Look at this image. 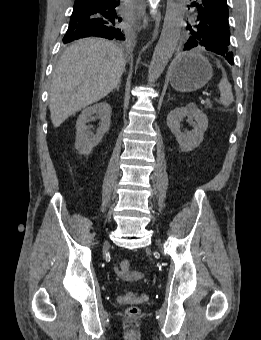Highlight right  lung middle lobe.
I'll list each match as a JSON object with an SVG mask.
<instances>
[{
    "label": "right lung middle lobe",
    "mask_w": 261,
    "mask_h": 340,
    "mask_svg": "<svg viewBox=\"0 0 261 340\" xmlns=\"http://www.w3.org/2000/svg\"><path fill=\"white\" fill-rule=\"evenodd\" d=\"M127 17V13L125 15V17L123 18V20L121 19L120 21H123L122 23L121 22H117L116 25H115V34H113L115 37H117V39H124V36L125 34L127 33V28H126V25H125V19ZM80 38H84L82 35L80 34H69V35H65L64 38H63V42L64 43H69L71 41H74V40H77V39H80Z\"/></svg>",
    "instance_id": "obj_1"
}]
</instances>
